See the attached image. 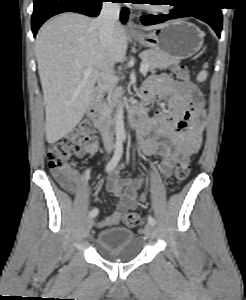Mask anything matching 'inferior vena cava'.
Returning <instances> with one entry per match:
<instances>
[{"label": "inferior vena cava", "mask_w": 246, "mask_h": 300, "mask_svg": "<svg viewBox=\"0 0 246 300\" xmlns=\"http://www.w3.org/2000/svg\"><path fill=\"white\" fill-rule=\"evenodd\" d=\"M120 4L117 2H104L99 16L94 20L98 27L99 38L103 49H110L113 42V30L118 23ZM113 67V63L109 64ZM98 86L103 92H107L113 86V76L109 72H102L98 78ZM101 136L106 151L114 149L113 135L110 132L106 117H101Z\"/></svg>", "instance_id": "1"}]
</instances>
